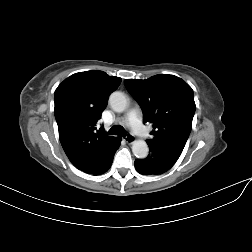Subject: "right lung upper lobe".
Returning a JSON list of instances; mask_svg holds the SVG:
<instances>
[{
	"label": "right lung upper lobe",
	"mask_w": 252,
	"mask_h": 252,
	"mask_svg": "<svg viewBox=\"0 0 252 252\" xmlns=\"http://www.w3.org/2000/svg\"><path fill=\"white\" fill-rule=\"evenodd\" d=\"M121 78L103 71H85L71 75L54 93V114L62 147L76 168L91 173L108 156L117 137L106 136L96 123L107 106L108 96L117 89Z\"/></svg>",
	"instance_id": "right-lung-upper-lobe-1"
}]
</instances>
